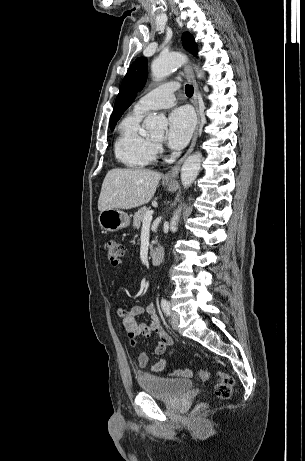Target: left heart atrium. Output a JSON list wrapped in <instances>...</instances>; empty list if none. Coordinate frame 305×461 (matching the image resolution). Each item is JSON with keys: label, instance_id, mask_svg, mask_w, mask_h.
<instances>
[{"label": "left heart atrium", "instance_id": "left-heart-atrium-1", "mask_svg": "<svg viewBox=\"0 0 305 461\" xmlns=\"http://www.w3.org/2000/svg\"><path fill=\"white\" fill-rule=\"evenodd\" d=\"M195 126V118L192 111L186 107H180L172 111L168 118V130L166 140L174 149L183 148L191 138Z\"/></svg>", "mask_w": 305, "mask_h": 461}]
</instances>
